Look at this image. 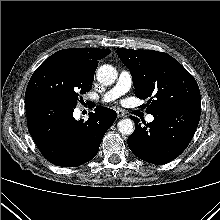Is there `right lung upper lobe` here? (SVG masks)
<instances>
[{"mask_svg": "<svg viewBox=\"0 0 220 220\" xmlns=\"http://www.w3.org/2000/svg\"><path fill=\"white\" fill-rule=\"evenodd\" d=\"M109 53V49L103 50L99 48H76L63 49L51 56L71 59L79 63L83 68L95 73V70L98 66V61L106 57Z\"/></svg>", "mask_w": 220, "mask_h": 220, "instance_id": "obj_1", "label": "right lung upper lobe"}]
</instances>
